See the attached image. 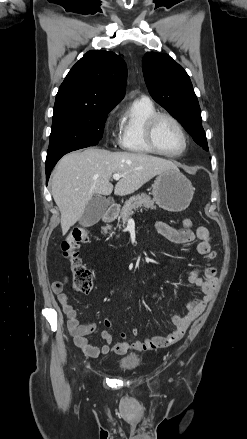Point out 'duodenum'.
<instances>
[{
  "label": "duodenum",
  "mask_w": 247,
  "mask_h": 439,
  "mask_svg": "<svg viewBox=\"0 0 247 439\" xmlns=\"http://www.w3.org/2000/svg\"><path fill=\"white\" fill-rule=\"evenodd\" d=\"M118 212H119V206L115 203H112L104 213L102 220L104 222L112 221L117 216Z\"/></svg>",
  "instance_id": "duodenum-1"
}]
</instances>
